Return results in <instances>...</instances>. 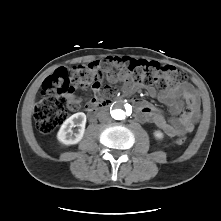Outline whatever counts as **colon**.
<instances>
[{"instance_id":"obj_1","label":"colon","mask_w":221,"mask_h":221,"mask_svg":"<svg viewBox=\"0 0 221 221\" xmlns=\"http://www.w3.org/2000/svg\"><path fill=\"white\" fill-rule=\"evenodd\" d=\"M110 61L92 62L72 68L60 67L53 71L43 82L40 98L34 109L37 128L44 134L51 133L67 117V109L72 108V100L77 89L94 87L100 84L102 65L107 66ZM123 69L136 83L147 86L157 85L160 88L182 82L187 75L170 65H161L146 60H120ZM106 95L115 93L113 87H108ZM185 137L175 139L176 145H182Z\"/></svg>"}]
</instances>
